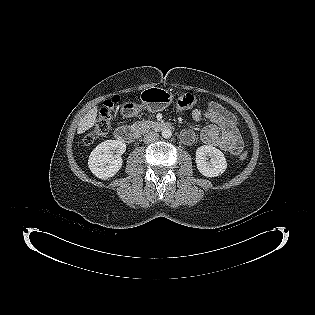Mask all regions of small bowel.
<instances>
[{
  "label": "small bowel",
  "mask_w": 315,
  "mask_h": 315,
  "mask_svg": "<svg viewBox=\"0 0 315 315\" xmlns=\"http://www.w3.org/2000/svg\"><path fill=\"white\" fill-rule=\"evenodd\" d=\"M192 117L196 122L208 120L200 132L204 144L218 147L231 154H238L243 149V142L237 127L236 117L217 102H209L205 109H194ZM181 140L186 145H192L196 134L191 129L181 133Z\"/></svg>",
  "instance_id": "small-bowel-1"
}]
</instances>
